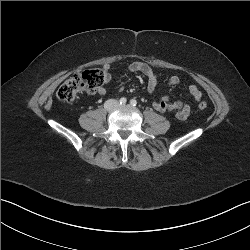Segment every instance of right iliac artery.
<instances>
[{
	"instance_id": "82829eb1",
	"label": "right iliac artery",
	"mask_w": 250,
	"mask_h": 250,
	"mask_svg": "<svg viewBox=\"0 0 250 250\" xmlns=\"http://www.w3.org/2000/svg\"><path fill=\"white\" fill-rule=\"evenodd\" d=\"M126 98H121L120 100H119V103L121 104V105H125V103H126Z\"/></svg>"
}]
</instances>
